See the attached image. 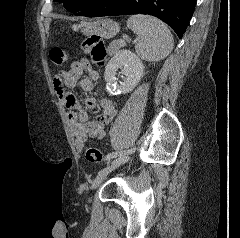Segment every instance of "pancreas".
<instances>
[{"label": "pancreas", "mask_w": 240, "mask_h": 238, "mask_svg": "<svg viewBox=\"0 0 240 238\" xmlns=\"http://www.w3.org/2000/svg\"><path fill=\"white\" fill-rule=\"evenodd\" d=\"M123 45L121 44L120 40L112 41L107 49L108 55H113L115 52H117Z\"/></svg>", "instance_id": "obj_1"}]
</instances>
